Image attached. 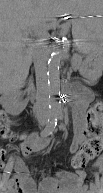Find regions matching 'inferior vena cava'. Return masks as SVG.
<instances>
[{
    "mask_svg": "<svg viewBox=\"0 0 103 193\" xmlns=\"http://www.w3.org/2000/svg\"><path fill=\"white\" fill-rule=\"evenodd\" d=\"M33 60L36 74V115L38 118L49 116V85L47 83V67L45 57V45L42 42H36L33 46Z\"/></svg>",
    "mask_w": 103,
    "mask_h": 193,
    "instance_id": "602c4592",
    "label": "inferior vena cava"
}]
</instances>
